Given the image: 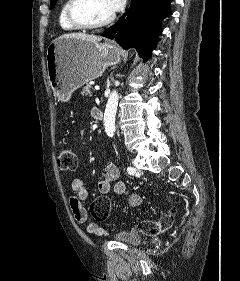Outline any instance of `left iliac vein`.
<instances>
[{"label":"left iliac vein","instance_id":"obj_1","mask_svg":"<svg viewBox=\"0 0 240 281\" xmlns=\"http://www.w3.org/2000/svg\"><path fill=\"white\" fill-rule=\"evenodd\" d=\"M136 173H137L138 175H141V174H142V171H141L140 169L136 168Z\"/></svg>","mask_w":240,"mask_h":281}]
</instances>
